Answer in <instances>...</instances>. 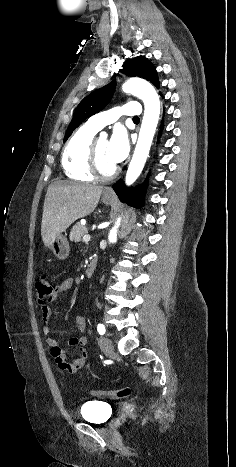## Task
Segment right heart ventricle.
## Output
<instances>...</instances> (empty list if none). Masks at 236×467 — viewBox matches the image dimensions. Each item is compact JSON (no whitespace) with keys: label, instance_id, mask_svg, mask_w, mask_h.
I'll list each match as a JSON object with an SVG mask.
<instances>
[{"label":"right heart ventricle","instance_id":"obj_1","mask_svg":"<svg viewBox=\"0 0 236 467\" xmlns=\"http://www.w3.org/2000/svg\"><path fill=\"white\" fill-rule=\"evenodd\" d=\"M96 130L83 125L67 142L62 154L65 175L75 181L90 182L94 176L89 170V151Z\"/></svg>","mask_w":236,"mask_h":467}]
</instances>
